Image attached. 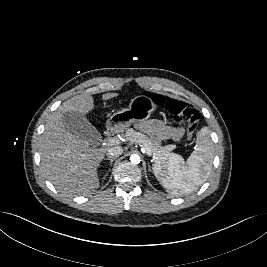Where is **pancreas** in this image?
I'll return each instance as SVG.
<instances>
[{
	"instance_id": "cf45deb5",
	"label": "pancreas",
	"mask_w": 267,
	"mask_h": 267,
	"mask_svg": "<svg viewBox=\"0 0 267 267\" xmlns=\"http://www.w3.org/2000/svg\"><path fill=\"white\" fill-rule=\"evenodd\" d=\"M126 139L131 143H137L141 147L149 149L151 151V155L155 159L164 160L174 156L171 153V151L176 147L174 144L160 146L158 143L149 139L146 135L137 132L132 128L126 131Z\"/></svg>"
}]
</instances>
